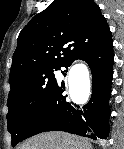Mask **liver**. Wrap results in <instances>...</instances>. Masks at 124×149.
Instances as JSON below:
<instances>
[{
  "label": "liver",
  "instance_id": "obj_1",
  "mask_svg": "<svg viewBox=\"0 0 124 149\" xmlns=\"http://www.w3.org/2000/svg\"><path fill=\"white\" fill-rule=\"evenodd\" d=\"M21 149H93L85 139L68 133H43L26 141Z\"/></svg>",
  "mask_w": 124,
  "mask_h": 149
}]
</instances>
